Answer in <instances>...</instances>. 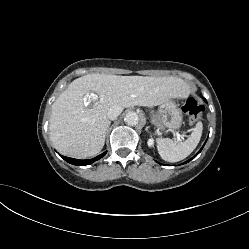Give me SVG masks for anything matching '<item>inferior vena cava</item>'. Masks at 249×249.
I'll return each instance as SVG.
<instances>
[{
    "mask_svg": "<svg viewBox=\"0 0 249 249\" xmlns=\"http://www.w3.org/2000/svg\"><path fill=\"white\" fill-rule=\"evenodd\" d=\"M123 111L121 106L115 105L108 109L107 116L110 120H115Z\"/></svg>",
    "mask_w": 249,
    "mask_h": 249,
    "instance_id": "obj_1",
    "label": "inferior vena cava"
}]
</instances>
